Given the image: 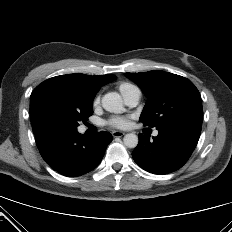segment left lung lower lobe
Segmentation results:
<instances>
[{"label":"left lung lower lobe","mask_w":232,"mask_h":232,"mask_svg":"<svg viewBox=\"0 0 232 232\" xmlns=\"http://www.w3.org/2000/svg\"><path fill=\"white\" fill-rule=\"evenodd\" d=\"M202 120L174 121L157 128V137L139 134L132 152L134 161L154 174H168L181 168L190 158L200 137Z\"/></svg>","instance_id":"obj_1"}]
</instances>
